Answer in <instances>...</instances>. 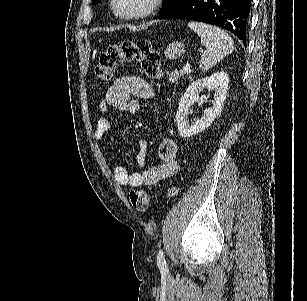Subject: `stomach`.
Wrapping results in <instances>:
<instances>
[{"label": "stomach", "instance_id": "obj_1", "mask_svg": "<svg viewBox=\"0 0 307 301\" xmlns=\"http://www.w3.org/2000/svg\"><path fill=\"white\" fill-rule=\"evenodd\" d=\"M185 44L184 42H178V40H175V42H170V44H167L165 50H164V56L166 58H179V56H182L185 52Z\"/></svg>", "mask_w": 307, "mask_h": 301}]
</instances>
